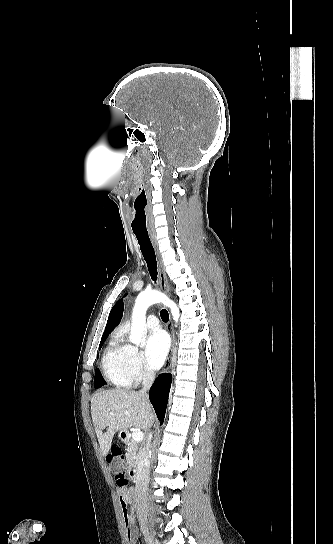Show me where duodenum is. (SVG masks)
Wrapping results in <instances>:
<instances>
[{"mask_svg":"<svg viewBox=\"0 0 333 544\" xmlns=\"http://www.w3.org/2000/svg\"><path fill=\"white\" fill-rule=\"evenodd\" d=\"M121 439L123 442L127 443L129 441V436L127 433H122ZM129 477L133 482H139L143 477L142 469L137 465H132L128 470Z\"/></svg>","mask_w":333,"mask_h":544,"instance_id":"obj_1","label":"duodenum"}]
</instances>
